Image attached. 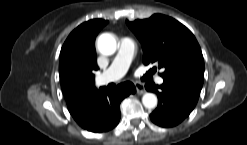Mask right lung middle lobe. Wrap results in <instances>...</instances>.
<instances>
[{
  "mask_svg": "<svg viewBox=\"0 0 247 145\" xmlns=\"http://www.w3.org/2000/svg\"><path fill=\"white\" fill-rule=\"evenodd\" d=\"M92 82V77L81 72H75L69 77V84L72 87H83L89 85Z\"/></svg>",
  "mask_w": 247,
  "mask_h": 145,
  "instance_id": "right-lung-middle-lobe-1",
  "label": "right lung middle lobe"
}]
</instances>
